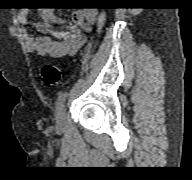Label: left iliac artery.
I'll list each match as a JSON object with an SVG mask.
<instances>
[{
  "instance_id": "left-iliac-artery-1",
  "label": "left iliac artery",
  "mask_w": 192,
  "mask_h": 180,
  "mask_svg": "<svg viewBox=\"0 0 192 180\" xmlns=\"http://www.w3.org/2000/svg\"><path fill=\"white\" fill-rule=\"evenodd\" d=\"M67 96H68V93H67V92H64L63 94H61V95L57 98V101H56V109H57L58 111L63 107V104H64Z\"/></svg>"
}]
</instances>
